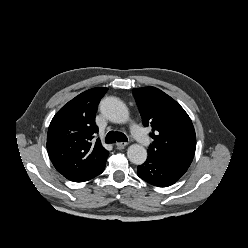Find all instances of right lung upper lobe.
Here are the masks:
<instances>
[{"mask_svg":"<svg viewBox=\"0 0 248 248\" xmlns=\"http://www.w3.org/2000/svg\"><path fill=\"white\" fill-rule=\"evenodd\" d=\"M108 89H89L64 105L53 117L47 134V151L56 170L73 182L91 179L109 155L99 139L95 125L97 105Z\"/></svg>","mask_w":248,"mask_h":248,"instance_id":"obj_1","label":"right lung upper lobe"}]
</instances>
